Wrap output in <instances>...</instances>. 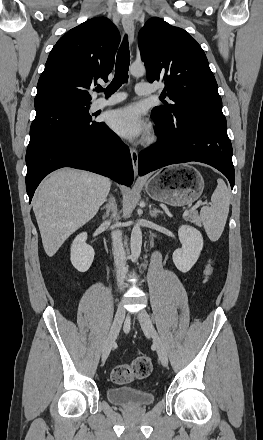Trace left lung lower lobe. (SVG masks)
Masks as SVG:
<instances>
[{
    "mask_svg": "<svg viewBox=\"0 0 263 440\" xmlns=\"http://www.w3.org/2000/svg\"><path fill=\"white\" fill-rule=\"evenodd\" d=\"M152 118L157 125L155 131L159 140L139 154L140 176L167 165L197 161L218 169L233 188L232 145L224 115L169 123L153 115Z\"/></svg>",
    "mask_w": 263,
    "mask_h": 440,
    "instance_id": "0a47b994",
    "label": "left lung lower lobe"
}]
</instances>
